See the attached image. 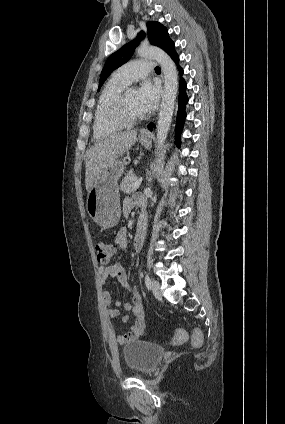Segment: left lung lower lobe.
Here are the masks:
<instances>
[{"label":"left lung lower lobe","instance_id":"1","mask_svg":"<svg viewBox=\"0 0 285 424\" xmlns=\"http://www.w3.org/2000/svg\"><path fill=\"white\" fill-rule=\"evenodd\" d=\"M173 60L176 64H178L179 61V56L177 55L176 51H175V45L174 43L171 44V46L165 51ZM178 69L180 72V92H179V98H178V102H179V109H178V113H177V121H176V140L175 143L176 145L179 147L180 146V134L181 131L183 129V124H184V120L186 117L185 114V107H186V103L188 102V98L186 95V82L183 80L182 78V74H183V70L182 68L178 65ZM148 129L149 130H153V123H150L148 125Z\"/></svg>","mask_w":285,"mask_h":424}]
</instances>
